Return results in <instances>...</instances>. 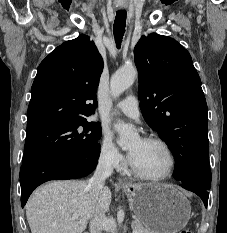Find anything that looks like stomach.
<instances>
[{
    "label": "stomach",
    "instance_id": "obj_1",
    "mask_svg": "<svg viewBox=\"0 0 227 233\" xmlns=\"http://www.w3.org/2000/svg\"><path fill=\"white\" fill-rule=\"evenodd\" d=\"M139 221L151 233H177L188 223L186 197L168 184H134L123 188Z\"/></svg>",
    "mask_w": 227,
    "mask_h": 233
}]
</instances>
